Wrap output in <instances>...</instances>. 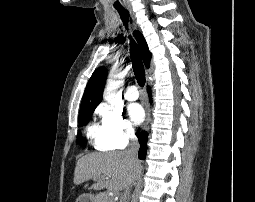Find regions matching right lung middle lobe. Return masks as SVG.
<instances>
[{
    "label": "right lung middle lobe",
    "instance_id": "right-lung-middle-lobe-1",
    "mask_svg": "<svg viewBox=\"0 0 255 202\" xmlns=\"http://www.w3.org/2000/svg\"><path fill=\"white\" fill-rule=\"evenodd\" d=\"M94 111V108H87V109H81L79 112V124L80 126H83L87 123V121L90 119L92 113Z\"/></svg>",
    "mask_w": 255,
    "mask_h": 202
}]
</instances>
